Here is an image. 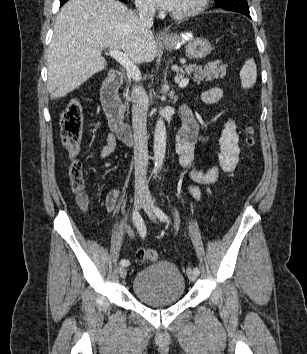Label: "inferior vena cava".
<instances>
[{
	"mask_svg": "<svg viewBox=\"0 0 307 354\" xmlns=\"http://www.w3.org/2000/svg\"><path fill=\"white\" fill-rule=\"evenodd\" d=\"M139 21L143 29H149L153 25L155 8L148 4L137 5ZM132 127L134 137V163H135V192L149 194L146 180L148 165V139H147V109L146 93L141 86L132 88Z\"/></svg>",
	"mask_w": 307,
	"mask_h": 354,
	"instance_id": "inferior-vena-cava-1",
	"label": "inferior vena cava"
}]
</instances>
